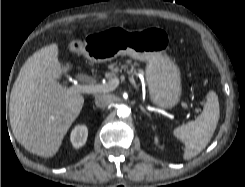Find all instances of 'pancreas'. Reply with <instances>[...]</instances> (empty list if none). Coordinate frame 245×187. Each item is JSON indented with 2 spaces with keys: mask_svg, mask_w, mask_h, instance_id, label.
Returning a JSON list of instances; mask_svg holds the SVG:
<instances>
[{
  "mask_svg": "<svg viewBox=\"0 0 245 187\" xmlns=\"http://www.w3.org/2000/svg\"><path fill=\"white\" fill-rule=\"evenodd\" d=\"M127 65H120V68L121 70L124 69V70H127L128 73L130 74H137L138 72H142L141 70H138L136 69L137 67V64H132V62L130 60H128L127 62ZM129 66H130V69H129ZM109 68V71L105 73V77L110 81L111 79L117 77V74L119 72V67L117 65V63H112L108 66Z\"/></svg>",
  "mask_w": 245,
  "mask_h": 187,
  "instance_id": "pancreas-1",
  "label": "pancreas"
}]
</instances>
